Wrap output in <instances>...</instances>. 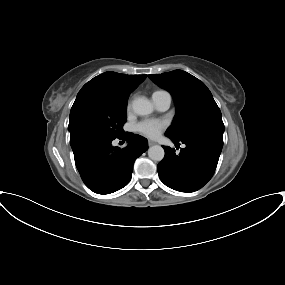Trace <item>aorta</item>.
Returning a JSON list of instances; mask_svg holds the SVG:
<instances>
[{"label": "aorta", "instance_id": "1", "mask_svg": "<svg viewBox=\"0 0 285 285\" xmlns=\"http://www.w3.org/2000/svg\"><path fill=\"white\" fill-rule=\"evenodd\" d=\"M133 111L137 115H149L153 112L152 103L145 97L135 99L132 103ZM165 152L160 145L151 146L148 149V156L153 161H161L164 158Z\"/></svg>", "mask_w": 285, "mask_h": 285}]
</instances>
